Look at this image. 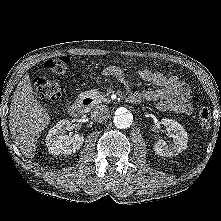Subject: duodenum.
Instances as JSON below:
<instances>
[{"label": "duodenum", "mask_w": 221, "mask_h": 221, "mask_svg": "<svg viewBox=\"0 0 221 221\" xmlns=\"http://www.w3.org/2000/svg\"><path fill=\"white\" fill-rule=\"evenodd\" d=\"M138 98L139 96L137 94H134L129 97V100L130 102H134L138 100ZM92 103L93 99L90 96H84L79 101L73 102L69 106L68 112L74 118L81 117L84 114L86 107H88Z\"/></svg>", "instance_id": "duodenum-1"}]
</instances>
